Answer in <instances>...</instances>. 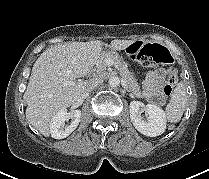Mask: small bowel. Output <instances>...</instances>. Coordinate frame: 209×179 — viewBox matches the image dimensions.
Returning <instances> with one entry per match:
<instances>
[{"label": "small bowel", "instance_id": "1", "mask_svg": "<svg viewBox=\"0 0 209 179\" xmlns=\"http://www.w3.org/2000/svg\"><path fill=\"white\" fill-rule=\"evenodd\" d=\"M168 70L164 68L149 70L144 82V97L155 103L164 102L163 84L166 80Z\"/></svg>", "mask_w": 209, "mask_h": 179}]
</instances>
